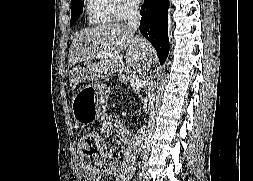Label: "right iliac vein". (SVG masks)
<instances>
[{"instance_id": "right-iliac-vein-1", "label": "right iliac vein", "mask_w": 253, "mask_h": 181, "mask_svg": "<svg viewBox=\"0 0 253 181\" xmlns=\"http://www.w3.org/2000/svg\"><path fill=\"white\" fill-rule=\"evenodd\" d=\"M146 179V181H150L149 178L147 176L144 177Z\"/></svg>"}]
</instances>
